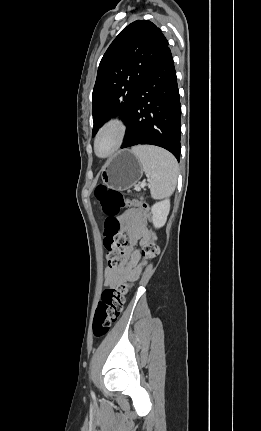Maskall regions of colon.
<instances>
[{"mask_svg": "<svg viewBox=\"0 0 261 431\" xmlns=\"http://www.w3.org/2000/svg\"><path fill=\"white\" fill-rule=\"evenodd\" d=\"M95 197L99 201L103 212L107 215L103 240L106 249V259L110 267H116L124 261L127 236L120 229L115 216L124 207H134L147 211L148 205L128 200L120 191L109 189L105 186H98L96 188ZM158 253L159 248L155 243V236L150 232L149 238L142 249V266L145 267ZM127 292V285L110 287L103 291L93 320V333L96 337L106 335L111 325L117 321L123 310Z\"/></svg>", "mask_w": 261, "mask_h": 431, "instance_id": "5ec220e1", "label": "colon"}]
</instances>
